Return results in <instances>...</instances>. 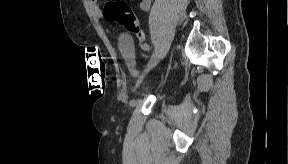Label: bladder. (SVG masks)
<instances>
[{"mask_svg":"<svg viewBox=\"0 0 288 164\" xmlns=\"http://www.w3.org/2000/svg\"><path fill=\"white\" fill-rule=\"evenodd\" d=\"M121 48L123 50L125 58L128 60L131 68L135 67V54L132 46L126 42L122 43Z\"/></svg>","mask_w":288,"mask_h":164,"instance_id":"obj_1","label":"bladder"}]
</instances>
